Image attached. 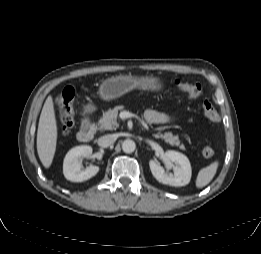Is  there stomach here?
Wrapping results in <instances>:
<instances>
[{
    "mask_svg": "<svg viewBox=\"0 0 261 254\" xmlns=\"http://www.w3.org/2000/svg\"><path fill=\"white\" fill-rule=\"evenodd\" d=\"M157 92L162 89V83L156 76H136L119 74L104 80L98 90L99 96L110 101L134 90Z\"/></svg>",
    "mask_w": 261,
    "mask_h": 254,
    "instance_id": "0dacf381",
    "label": "stomach"
}]
</instances>
